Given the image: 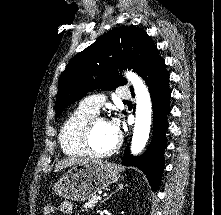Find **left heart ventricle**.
Wrapping results in <instances>:
<instances>
[{"mask_svg":"<svg viewBox=\"0 0 221 215\" xmlns=\"http://www.w3.org/2000/svg\"><path fill=\"white\" fill-rule=\"evenodd\" d=\"M116 136L110 127L108 122L96 123L92 133V145L98 151H106L113 147L117 141Z\"/></svg>","mask_w":221,"mask_h":215,"instance_id":"1","label":"left heart ventricle"}]
</instances>
